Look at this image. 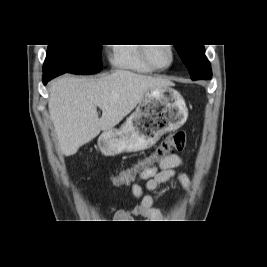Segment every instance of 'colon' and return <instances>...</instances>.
<instances>
[{
    "mask_svg": "<svg viewBox=\"0 0 267 267\" xmlns=\"http://www.w3.org/2000/svg\"><path fill=\"white\" fill-rule=\"evenodd\" d=\"M186 147V133L184 130H177L170 133L157 147L156 149L145 159L139 161L131 169H122L118 171L116 175H111L110 179L114 182V185H128V182H133V178H137L138 171L152 167L155 163L162 160L166 156L183 151Z\"/></svg>",
    "mask_w": 267,
    "mask_h": 267,
    "instance_id": "obj_1",
    "label": "colon"
}]
</instances>
